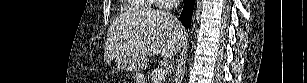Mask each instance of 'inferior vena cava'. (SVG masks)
Listing matches in <instances>:
<instances>
[{"instance_id": "602c4592", "label": "inferior vena cava", "mask_w": 307, "mask_h": 83, "mask_svg": "<svg viewBox=\"0 0 307 83\" xmlns=\"http://www.w3.org/2000/svg\"><path fill=\"white\" fill-rule=\"evenodd\" d=\"M180 0H176V7L179 6Z\"/></svg>"}]
</instances>
